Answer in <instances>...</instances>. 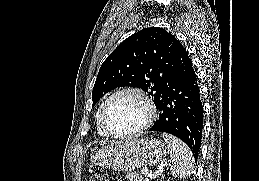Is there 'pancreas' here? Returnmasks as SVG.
Here are the masks:
<instances>
[{"label":"pancreas","mask_w":259,"mask_h":181,"mask_svg":"<svg viewBox=\"0 0 259 181\" xmlns=\"http://www.w3.org/2000/svg\"><path fill=\"white\" fill-rule=\"evenodd\" d=\"M126 179H128L129 181H144L142 175L137 172L128 173L126 175Z\"/></svg>","instance_id":"pancreas-1"}]
</instances>
